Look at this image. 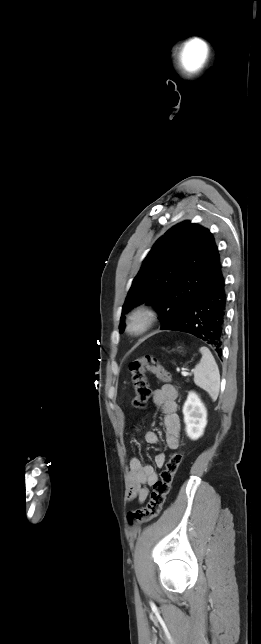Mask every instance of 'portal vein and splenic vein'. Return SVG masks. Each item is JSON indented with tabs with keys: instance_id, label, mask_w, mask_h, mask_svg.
<instances>
[{
	"instance_id": "18ae733b",
	"label": "portal vein and splenic vein",
	"mask_w": 261,
	"mask_h": 644,
	"mask_svg": "<svg viewBox=\"0 0 261 644\" xmlns=\"http://www.w3.org/2000/svg\"><path fill=\"white\" fill-rule=\"evenodd\" d=\"M181 374H182V376H184V377H186V376H188V375H189V373H188V372H186V371H182V372H181Z\"/></svg>"
}]
</instances>
